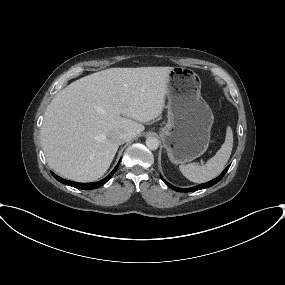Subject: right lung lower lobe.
Listing matches in <instances>:
<instances>
[{
	"mask_svg": "<svg viewBox=\"0 0 285 285\" xmlns=\"http://www.w3.org/2000/svg\"><path fill=\"white\" fill-rule=\"evenodd\" d=\"M119 166V163L117 164V166L113 169V171L103 180L98 181V182H94V183H77V182H73V181H68L65 180L59 176H57L56 174H54L53 172H51V174L61 183L78 188V189H84V190H90V189H95L98 188L102 185H104L115 173V171L117 170Z\"/></svg>",
	"mask_w": 285,
	"mask_h": 285,
	"instance_id": "98d812e1",
	"label": "right lung lower lobe"
}]
</instances>
